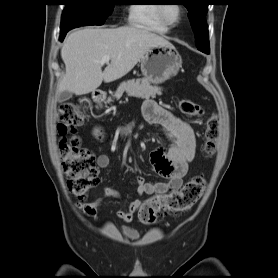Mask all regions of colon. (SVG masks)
<instances>
[{
	"mask_svg": "<svg viewBox=\"0 0 278 278\" xmlns=\"http://www.w3.org/2000/svg\"><path fill=\"white\" fill-rule=\"evenodd\" d=\"M84 101L62 104L56 114L57 129L60 135L59 153L63 172L67 177V188L80 202L84 201L90 189L98 183V170L94 155L81 147L76 129L86 120ZM181 113L195 117L203 114V108L187 99L179 102ZM219 119L209 117L205 130L204 150L213 155L219 140ZM206 186L202 176H195L180 190L160 194L145 201L139 209L138 217L143 224H154L160 216L190 210L201 198Z\"/></svg>",
	"mask_w": 278,
	"mask_h": 278,
	"instance_id": "1",
	"label": "colon"
}]
</instances>
